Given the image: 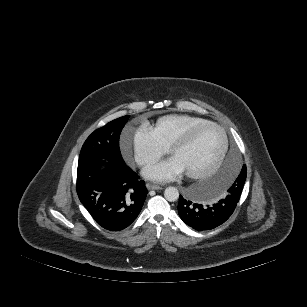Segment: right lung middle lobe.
Segmentation results:
<instances>
[{
	"label": "right lung middle lobe",
	"mask_w": 307,
	"mask_h": 307,
	"mask_svg": "<svg viewBox=\"0 0 307 307\" xmlns=\"http://www.w3.org/2000/svg\"><path fill=\"white\" fill-rule=\"evenodd\" d=\"M129 115L117 118L95 130L82 146L79 161L106 159L112 163H121L123 158L119 148V137Z\"/></svg>",
	"instance_id": "obj_1"
}]
</instances>
